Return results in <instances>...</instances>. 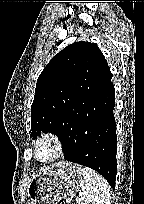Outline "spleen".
Wrapping results in <instances>:
<instances>
[{
    "label": "spleen",
    "mask_w": 144,
    "mask_h": 204,
    "mask_svg": "<svg viewBox=\"0 0 144 204\" xmlns=\"http://www.w3.org/2000/svg\"><path fill=\"white\" fill-rule=\"evenodd\" d=\"M78 204H110V186L96 171L83 168ZM71 200V199H68Z\"/></svg>",
    "instance_id": "spleen-1"
}]
</instances>
